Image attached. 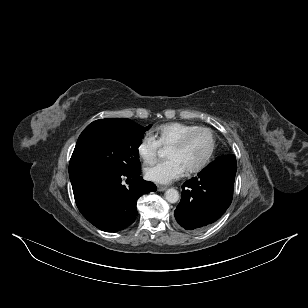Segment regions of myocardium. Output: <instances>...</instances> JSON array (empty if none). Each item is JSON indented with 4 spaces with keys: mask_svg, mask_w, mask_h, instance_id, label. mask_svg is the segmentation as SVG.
Listing matches in <instances>:
<instances>
[{
    "mask_svg": "<svg viewBox=\"0 0 308 308\" xmlns=\"http://www.w3.org/2000/svg\"><path fill=\"white\" fill-rule=\"evenodd\" d=\"M199 132H207L210 135L211 147L205 159L197 166L186 170L187 174H195V173H198L204 170L212 161L215 151H216V146H217V140H216V136L214 132L210 128H207V127H197L185 133L180 139H178L176 142H174L172 145L169 146V148L181 149L187 144V142L191 139V137H193L195 134Z\"/></svg>",
    "mask_w": 308,
    "mask_h": 308,
    "instance_id": "myocardium-1",
    "label": "myocardium"
}]
</instances>
